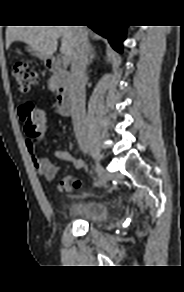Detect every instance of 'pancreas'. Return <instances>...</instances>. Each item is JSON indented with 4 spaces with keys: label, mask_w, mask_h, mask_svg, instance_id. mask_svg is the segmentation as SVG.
Returning a JSON list of instances; mask_svg holds the SVG:
<instances>
[{
    "label": "pancreas",
    "mask_w": 184,
    "mask_h": 292,
    "mask_svg": "<svg viewBox=\"0 0 184 292\" xmlns=\"http://www.w3.org/2000/svg\"><path fill=\"white\" fill-rule=\"evenodd\" d=\"M61 79L59 78L58 74L55 73L49 80V89L51 91H56L59 87Z\"/></svg>",
    "instance_id": "obj_1"
}]
</instances>
